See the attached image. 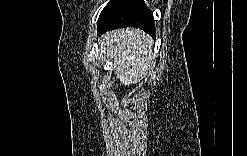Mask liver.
<instances>
[{"label": "liver", "instance_id": "liver-1", "mask_svg": "<svg viewBox=\"0 0 247 156\" xmlns=\"http://www.w3.org/2000/svg\"><path fill=\"white\" fill-rule=\"evenodd\" d=\"M100 54L113 62L114 73L126 86L137 83L153 63V40L134 28L112 30L99 38Z\"/></svg>", "mask_w": 247, "mask_h": 156}]
</instances>
